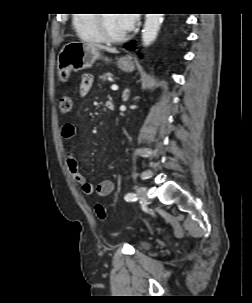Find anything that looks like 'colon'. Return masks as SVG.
I'll use <instances>...</instances> for the list:
<instances>
[{"label":"colon","instance_id":"1","mask_svg":"<svg viewBox=\"0 0 252 303\" xmlns=\"http://www.w3.org/2000/svg\"><path fill=\"white\" fill-rule=\"evenodd\" d=\"M59 106L62 113H70L73 109V102L69 95H62L59 100ZM95 215L98 219L104 220L106 218V209L105 207L97 203L94 206Z\"/></svg>","mask_w":252,"mask_h":303}]
</instances>
